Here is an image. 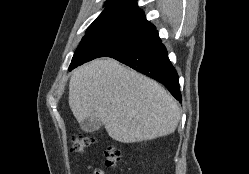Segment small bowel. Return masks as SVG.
Returning a JSON list of instances; mask_svg holds the SVG:
<instances>
[{"label": "small bowel", "instance_id": "small-bowel-1", "mask_svg": "<svg viewBox=\"0 0 249 174\" xmlns=\"http://www.w3.org/2000/svg\"><path fill=\"white\" fill-rule=\"evenodd\" d=\"M87 170L88 171H91V172H85L84 174H106V172L103 170V169H99V168H93L92 166H88L87 167Z\"/></svg>", "mask_w": 249, "mask_h": 174}]
</instances>
